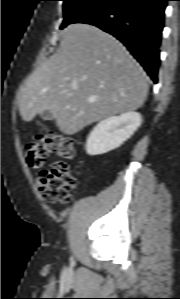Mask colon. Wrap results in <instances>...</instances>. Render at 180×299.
<instances>
[{
	"instance_id": "5ec220e1",
	"label": "colon",
	"mask_w": 180,
	"mask_h": 299,
	"mask_svg": "<svg viewBox=\"0 0 180 299\" xmlns=\"http://www.w3.org/2000/svg\"><path fill=\"white\" fill-rule=\"evenodd\" d=\"M51 153L63 159H72L75 154L74 140L62 133L48 131L28 146L26 161L30 167L39 168ZM40 190L45 201L51 204L65 203L71 198L77 185L76 177L68 164L57 161L40 174Z\"/></svg>"
}]
</instances>
